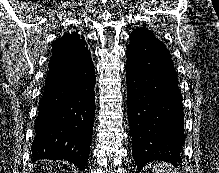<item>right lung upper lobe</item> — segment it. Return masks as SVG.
<instances>
[{"label":"right lung upper lobe","instance_id":"right-lung-upper-lobe-1","mask_svg":"<svg viewBox=\"0 0 219 173\" xmlns=\"http://www.w3.org/2000/svg\"><path fill=\"white\" fill-rule=\"evenodd\" d=\"M85 40L78 33H66L52 43V58L59 65L70 63L76 56H84L89 51L85 46Z\"/></svg>","mask_w":219,"mask_h":173}]
</instances>
